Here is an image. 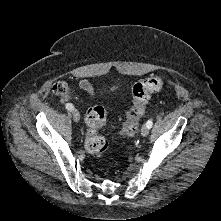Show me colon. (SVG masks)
<instances>
[{"label": "colon", "mask_w": 221, "mask_h": 221, "mask_svg": "<svg viewBox=\"0 0 221 221\" xmlns=\"http://www.w3.org/2000/svg\"><path fill=\"white\" fill-rule=\"evenodd\" d=\"M163 82L159 76L144 78L134 84L132 88L133 105L127 110L126 118L122 124L121 134L124 137H133L137 131L138 123L150 95L162 88ZM55 92L60 96H67V89L63 83L54 86ZM107 114L102 106H92L87 110L85 123L87 137L86 149L95 156H102L107 150V141L98 135V131L105 125Z\"/></svg>", "instance_id": "colon-1"}]
</instances>
